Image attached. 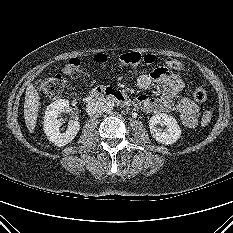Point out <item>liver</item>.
Segmentation results:
<instances>
[{
    "mask_svg": "<svg viewBox=\"0 0 233 233\" xmlns=\"http://www.w3.org/2000/svg\"><path fill=\"white\" fill-rule=\"evenodd\" d=\"M39 100L40 97L37 90L33 84H29L25 94L24 119L30 133H33L36 127L40 105Z\"/></svg>",
    "mask_w": 233,
    "mask_h": 233,
    "instance_id": "liver-1",
    "label": "liver"
}]
</instances>
